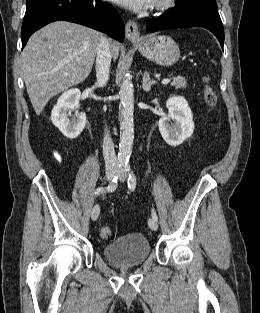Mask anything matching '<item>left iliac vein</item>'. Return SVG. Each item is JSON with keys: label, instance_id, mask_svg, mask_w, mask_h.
<instances>
[{"label": "left iliac vein", "instance_id": "obj_1", "mask_svg": "<svg viewBox=\"0 0 260 313\" xmlns=\"http://www.w3.org/2000/svg\"><path fill=\"white\" fill-rule=\"evenodd\" d=\"M117 175H118L120 181H124L126 178V172L124 170L118 171ZM148 225L154 231H156L158 229V223L153 218L148 219Z\"/></svg>", "mask_w": 260, "mask_h": 313}]
</instances>
